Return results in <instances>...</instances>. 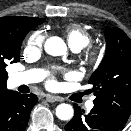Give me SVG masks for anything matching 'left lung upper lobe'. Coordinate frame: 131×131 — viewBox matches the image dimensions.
I'll list each match as a JSON object with an SVG mask.
<instances>
[{
	"mask_svg": "<svg viewBox=\"0 0 131 131\" xmlns=\"http://www.w3.org/2000/svg\"><path fill=\"white\" fill-rule=\"evenodd\" d=\"M106 54L88 83L94 106L124 125L131 114V40L119 28L105 30Z\"/></svg>",
	"mask_w": 131,
	"mask_h": 131,
	"instance_id": "obj_1",
	"label": "left lung upper lobe"
}]
</instances>
